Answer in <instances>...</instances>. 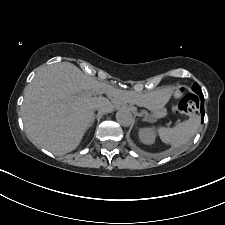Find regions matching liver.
I'll list each match as a JSON object with an SVG mask.
<instances>
[{
  "mask_svg": "<svg viewBox=\"0 0 225 225\" xmlns=\"http://www.w3.org/2000/svg\"><path fill=\"white\" fill-rule=\"evenodd\" d=\"M111 97L112 102L102 97ZM75 96L68 99L67 96ZM147 95L123 91L61 62L40 68L25 88L22 119L28 139L56 155L75 150L92 125L94 110L106 111L112 103L144 106Z\"/></svg>",
  "mask_w": 225,
  "mask_h": 225,
  "instance_id": "liver-1",
  "label": "liver"
}]
</instances>
